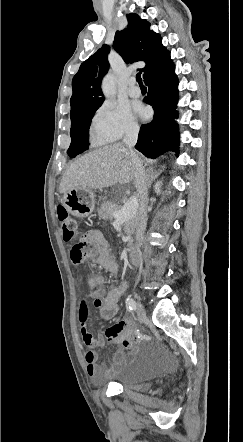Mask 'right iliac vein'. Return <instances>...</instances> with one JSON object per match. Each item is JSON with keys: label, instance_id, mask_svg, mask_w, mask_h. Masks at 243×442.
I'll list each match as a JSON object with an SVG mask.
<instances>
[{"label": "right iliac vein", "instance_id": "63e3f726", "mask_svg": "<svg viewBox=\"0 0 243 442\" xmlns=\"http://www.w3.org/2000/svg\"><path fill=\"white\" fill-rule=\"evenodd\" d=\"M136 311H137V316L140 322H143L146 320V312L142 306V304L140 302L136 303Z\"/></svg>", "mask_w": 243, "mask_h": 442}]
</instances>
